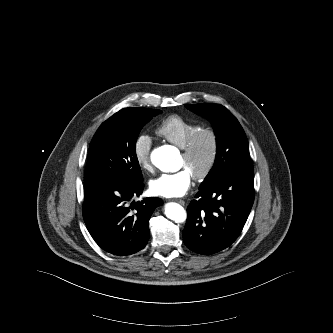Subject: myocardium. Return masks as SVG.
<instances>
[{
    "label": "myocardium",
    "instance_id": "f54148a6",
    "mask_svg": "<svg viewBox=\"0 0 333 333\" xmlns=\"http://www.w3.org/2000/svg\"><path fill=\"white\" fill-rule=\"evenodd\" d=\"M204 137L209 140V153L203 168L199 172L192 174V177L197 181H201L207 178L216 164L219 149L218 135L212 128H200L191 135V137L187 140L186 144L182 148L183 157L190 159L194 154L197 146L199 145L201 139Z\"/></svg>",
    "mask_w": 333,
    "mask_h": 333
}]
</instances>
